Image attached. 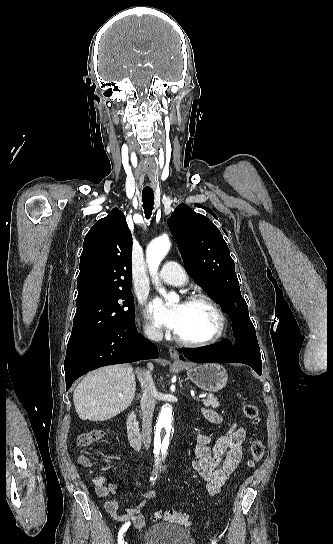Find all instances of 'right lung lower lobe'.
<instances>
[{
  "instance_id": "right-lung-lower-lobe-1",
  "label": "right lung lower lobe",
  "mask_w": 333,
  "mask_h": 544,
  "mask_svg": "<svg viewBox=\"0 0 333 544\" xmlns=\"http://www.w3.org/2000/svg\"><path fill=\"white\" fill-rule=\"evenodd\" d=\"M158 357L156 346L138 333L134 321L127 323L67 350L66 390L78 377L96 368Z\"/></svg>"
}]
</instances>
